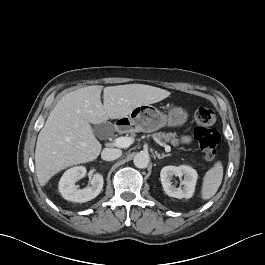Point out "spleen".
Segmentation results:
<instances>
[{
  "instance_id": "spleen-1",
  "label": "spleen",
  "mask_w": 265,
  "mask_h": 265,
  "mask_svg": "<svg viewBox=\"0 0 265 265\" xmlns=\"http://www.w3.org/2000/svg\"><path fill=\"white\" fill-rule=\"evenodd\" d=\"M222 179L223 165L220 161H217L204 175L201 188V197L203 200H208L216 194Z\"/></svg>"
}]
</instances>
